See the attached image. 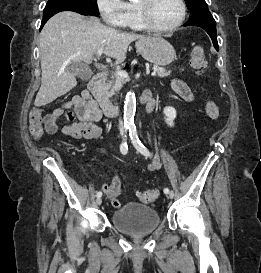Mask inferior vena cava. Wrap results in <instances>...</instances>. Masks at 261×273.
Instances as JSON below:
<instances>
[{
  "mask_svg": "<svg viewBox=\"0 0 261 273\" xmlns=\"http://www.w3.org/2000/svg\"><path fill=\"white\" fill-rule=\"evenodd\" d=\"M118 128H119V131H120V134L122 135L123 134V122L121 119H119V125H118Z\"/></svg>",
  "mask_w": 261,
  "mask_h": 273,
  "instance_id": "1",
  "label": "inferior vena cava"
}]
</instances>
